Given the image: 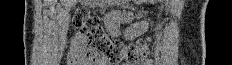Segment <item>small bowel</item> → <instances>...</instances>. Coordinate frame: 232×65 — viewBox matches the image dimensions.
I'll list each match as a JSON object with an SVG mask.
<instances>
[{
  "label": "small bowel",
  "mask_w": 232,
  "mask_h": 65,
  "mask_svg": "<svg viewBox=\"0 0 232 65\" xmlns=\"http://www.w3.org/2000/svg\"><path fill=\"white\" fill-rule=\"evenodd\" d=\"M125 15V16H124ZM129 15V16H128ZM130 12L129 14L126 12H106L105 13V25L106 28H108V31H110V34H112L113 37H127V39H130V37H141L142 36V30H146V27H144V24L140 23L138 20H142V17H139L141 14L138 12L136 15ZM115 21H137L135 23V29L134 27H126V30H129V32H118V28H124V23H115ZM80 36H76L74 39V44L76 46V39ZM71 60H73L74 56L70 55ZM153 60L152 59H141L139 60L136 65H152Z\"/></svg>",
  "instance_id": "obj_1"
}]
</instances>
